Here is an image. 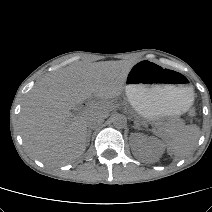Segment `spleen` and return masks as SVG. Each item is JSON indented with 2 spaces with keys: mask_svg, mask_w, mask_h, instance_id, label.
Masks as SVG:
<instances>
[{
  "mask_svg": "<svg viewBox=\"0 0 212 212\" xmlns=\"http://www.w3.org/2000/svg\"><path fill=\"white\" fill-rule=\"evenodd\" d=\"M200 129L196 125H188L167 142V152L174 155L175 160L185 157L191 153L198 140Z\"/></svg>",
  "mask_w": 212,
  "mask_h": 212,
  "instance_id": "spleen-1",
  "label": "spleen"
}]
</instances>
